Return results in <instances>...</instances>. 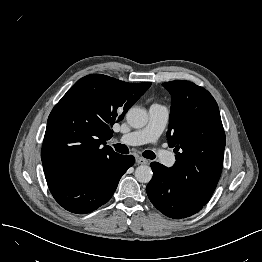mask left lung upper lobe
<instances>
[{
    "label": "left lung upper lobe",
    "mask_w": 262,
    "mask_h": 262,
    "mask_svg": "<svg viewBox=\"0 0 262 262\" xmlns=\"http://www.w3.org/2000/svg\"><path fill=\"white\" fill-rule=\"evenodd\" d=\"M172 96L168 143L176 153L172 179L205 205L219 181L225 133L218 105L204 88L184 80L163 83Z\"/></svg>",
    "instance_id": "1"
}]
</instances>
